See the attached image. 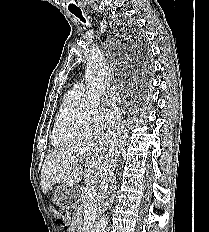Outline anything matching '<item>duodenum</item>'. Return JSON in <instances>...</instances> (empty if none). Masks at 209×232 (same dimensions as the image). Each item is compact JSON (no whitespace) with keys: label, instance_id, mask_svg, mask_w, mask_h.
<instances>
[{"label":"duodenum","instance_id":"obj_1","mask_svg":"<svg viewBox=\"0 0 209 232\" xmlns=\"http://www.w3.org/2000/svg\"><path fill=\"white\" fill-rule=\"evenodd\" d=\"M88 232H95V227H94L93 225H91V226L89 227Z\"/></svg>","mask_w":209,"mask_h":232}]
</instances>
